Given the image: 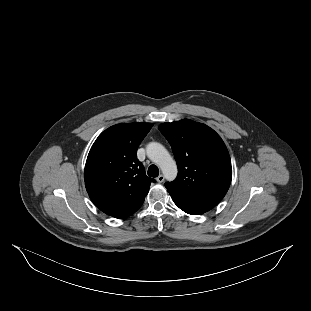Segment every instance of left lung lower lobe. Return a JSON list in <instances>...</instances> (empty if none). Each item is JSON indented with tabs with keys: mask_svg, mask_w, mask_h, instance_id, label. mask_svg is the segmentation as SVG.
<instances>
[{
	"mask_svg": "<svg viewBox=\"0 0 311 311\" xmlns=\"http://www.w3.org/2000/svg\"><path fill=\"white\" fill-rule=\"evenodd\" d=\"M174 203L184 212L192 215H198L205 213L212 209L214 206L209 204H203L188 200L182 196H179L175 193L169 192Z\"/></svg>",
	"mask_w": 311,
	"mask_h": 311,
	"instance_id": "obj_1",
	"label": "left lung lower lobe"
}]
</instances>
